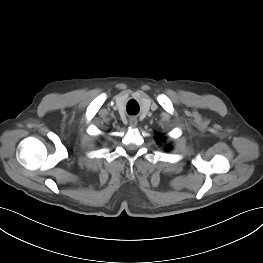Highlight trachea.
<instances>
[{
  "label": "trachea",
  "mask_w": 263,
  "mask_h": 263,
  "mask_svg": "<svg viewBox=\"0 0 263 263\" xmlns=\"http://www.w3.org/2000/svg\"><path fill=\"white\" fill-rule=\"evenodd\" d=\"M126 109L129 114H136L139 111V105L136 101H130Z\"/></svg>",
  "instance_id": "3493384b"
}]
</instances>
